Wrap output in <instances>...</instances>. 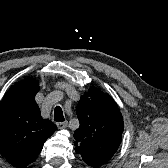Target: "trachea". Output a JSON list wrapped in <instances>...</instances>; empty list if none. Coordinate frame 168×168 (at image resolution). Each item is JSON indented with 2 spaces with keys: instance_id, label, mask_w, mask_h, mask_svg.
<instances>
[{
  "instance_id": "1",
  "label": "trachea",
  "mask_w": 168,
  "mask_h": 168,
  "mask_svg": "<svg viewBox=\"0 0 168 168\" xmlns=\"http://www.w3.org/2000/svg\"><path fill=\"white\" fill-rule=\"evenodd\" d=\"M54 120L57 122H63L65 120L60 106H57L54 110Z\"/></svg>"
}]
</instances>
